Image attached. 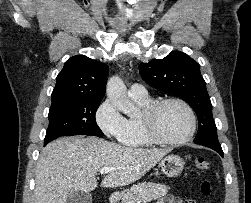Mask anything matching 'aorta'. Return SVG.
<instances>
[{
    "mask_svg": "<svg viewBox=\"0 0 251 203\" xmlns=\"http://www.w3.org/2000/svg\"><path fill=\"white\" fill-rule=\"evenodd\" d=\"M106 93L110 102L122 113L129 117H133L137 114V109L128 98L126 87L118 76H113L108 80Z\"/></svg>",
    "mask_w": 251,
    "mask_h": 203,
    "instance_id": "aorta-1",
    "label": "aorta"
}]
</instances>
